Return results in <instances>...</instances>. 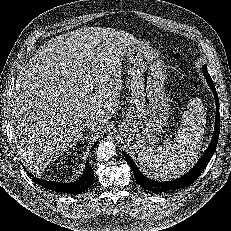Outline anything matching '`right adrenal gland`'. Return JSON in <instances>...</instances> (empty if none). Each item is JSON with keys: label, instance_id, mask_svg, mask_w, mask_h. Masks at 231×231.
<instances>
[{"label": "right adrenal gland", "instance_id": "obj_1", "mask_svg": "<svg viewBox=\"0 0 231 231\" xmlns=\"http://www.w3.org/2000/svg\"><path fill=\"white\" fill-rule=\"evenodd\" d=\"M79 140H77L76 142L73 143V145H76L78 143Z\"/></svg>", "mask_w": 231, "mask_h": 231}]
</instances>
